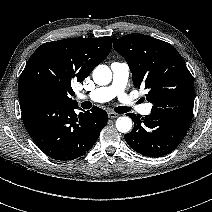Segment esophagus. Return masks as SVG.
Returning a JSON list of instances; mask_svg holds the SVG:
<instances>
[{
    "instance_id": "1",
    "label": "esophagus",
    "mask_w": 212,
    "mask_h": 212,
    "mask_svg": "<svg viewBox=\"0 0 212 212\" xmlns=\"http://www.w3.org/2000/svg\"><path fill=\"white\" fill-rule=\"evenodd\" d=\"M109 118L111 119H115L119 116V114L115 113V112H109L108 113Z\"/></svg>"
}]
</instances>
